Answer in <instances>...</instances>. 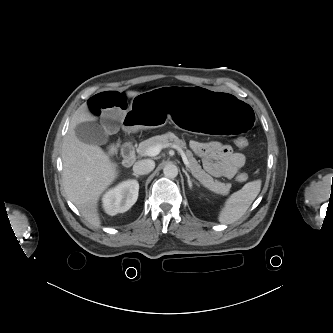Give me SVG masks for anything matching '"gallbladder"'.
I'll use <instances>...</instances> for the list:
<instances>
[{
  "mask_svg": "<svg viewBox=\"0 0 333 333\" xmlns=\"http://www.w3.org/2000/svg\"><path fill=\"white\" fill-rule=\"evenodd\" d=\"M77 138L86 144L103 145L108 142V136L100 125L95 122H83L75 127Z\"/></svg>",
  "mask_w": 333,
  "mask_h": 333,
  "instance_id": "obj_1",
  "label": "gallbladder"
}]
</instances>
